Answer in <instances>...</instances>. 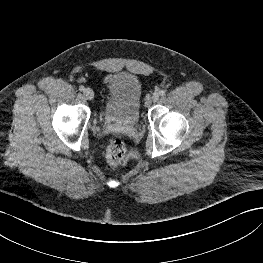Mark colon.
<instances>
[{"mask_svg":"<svg viewBox=\"0 0 263 263\" xmlns=\"http://www.w3.org/2000/svg\"><path fill=\"white\" fill-rule=\"evenodd\" d=\"M126 155L125 143L120 140H114L110 143L106 151V161L111 166L120 164Z\"/></svg>","mask_w":263,"mask_h":263,"instance_id":"1","label":"colon"}]
</instances>
